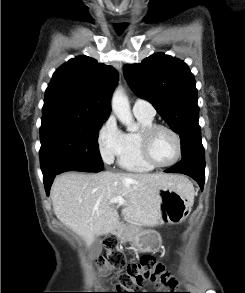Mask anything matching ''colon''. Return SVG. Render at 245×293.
Listing matches in <instances>:
<instances>
[{"label": "colon", "instance_id": "colon-1", "mask_svg": "<svg viewBox=\"0 0 245 293\" xmlns=\"http://www.w3.org/2000/svg\"><path fill=\"white\" fill-rule=\"evenodd\" d=\"M104 246L106 251L97 259V267L106 273L113 270L120 271L125 268V271L117 278L120 286L119 292L109 293H155L143 290V287L146 284H157L159 282H164L171 288L175 285L174 279L168 276L164 266L158 263L154 257L141 256L138 261L126 262L125 256L116 249L117 239L113 236H109L104 240Z\"/></svg>", "mask_w": 245, "mask_h": 293}]
</instances>
